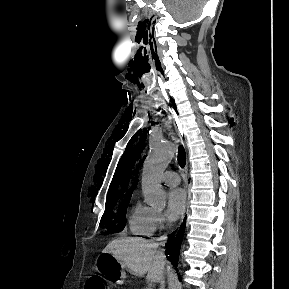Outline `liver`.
Returning <instances> with one entry per match:
<instances>
[{
  "label": "liver",
  "mask_w": 289,
  "mask_h": 289,
  "mask_svg": "<svg viewBox=\"0 0 289 289\" xmlns=\"http://www.w3.org/2000/svg\"><path fill=\"white\" fill-rule=\"evenodd\" d=\"M103 253L113 254L122 268L139 277L147 274L150 282H159L164 274V264L157 256L154 244L142 238H119L109 242Z\"/></svg>",
  "instance_id": "1"
}]
</instances>
